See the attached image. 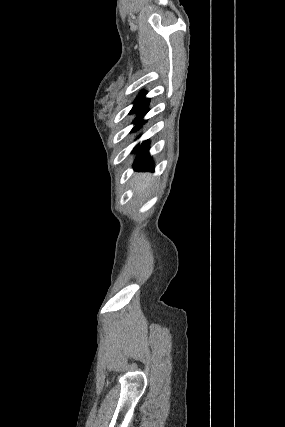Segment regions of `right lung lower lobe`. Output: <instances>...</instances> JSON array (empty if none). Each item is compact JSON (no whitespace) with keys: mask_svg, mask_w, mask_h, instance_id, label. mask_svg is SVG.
I'll use <instances>...</instances> for the list:
<instances>
[{"mask_svg":"<svg viewBox=\"0 0 285 427\" xmlns=\"http://www.w3.org/2000/svg\"><path fill=\"white\" fill-rule=\"evenodd\" d=\"M149 149V142L145 141L142 143L140 152L138 153L133 167H135L137 170H153V163L151 161V157L148 152Z\"/></svg>","mask_w":285,"mask_h":427,"instance_id":"98d812e1","label":"right lung lower lobe"}]
</instances>
